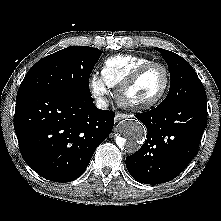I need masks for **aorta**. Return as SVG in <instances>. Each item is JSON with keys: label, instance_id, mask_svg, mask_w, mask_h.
<instances>
[{"label": "aorta", "instance_id": "1", "mask_svg": "<svg viewBox=\"0 0 221 221\" xmlns=\"http://www.w3.org/2000/svg\"><path fill=\"white\" fill-rule=\"evenodd\" d=\"M119 127L120 134L116 137L117 145L128 153L137 152L146 137L144 125L137 120L127 119Z\"/></svg>", "mask_w": 221, "mask_h": 221}]
</instances>
